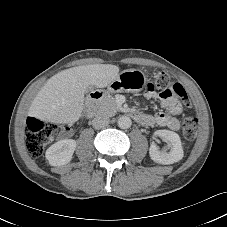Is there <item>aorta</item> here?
<instances>
[{
	"instance_id": "1",
	"label": "aorta",
	"mask_w": 227,
	"mask_h": 227,
	"mask_svg": "<svg viewBox=\"0 0 227 227\" xmlns=\"http://www.w3.org/2000/svg\"><path fill=\"white\" fill-rule=\"evenodd\" d=\"M117 124L121 129H128L132 125V121L128 116H121L118 118Z\"/></svg>"
}]
</instances>
